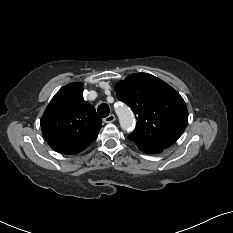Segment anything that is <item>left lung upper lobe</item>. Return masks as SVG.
<instances>
[{
    "mask_svg": "<svg viewBox=\"0 0 233 233\" xmlns=\"http://www.w3.org/2000/svg\"><path fill=\"white\" fill-rule=\"evenodd\" d=\"M118 99L134 112L137 124L129 135L139 148L166 149L184 132L188 111L183 98L159 78L136 73L115 85Z\"/></svg>",
    "mask_w": 233,
    "mask_h": 233,
    "instance_id": "left-lung-upper-lobe-1",
    "label": "left lung upper lobe"
}]
</instances>
